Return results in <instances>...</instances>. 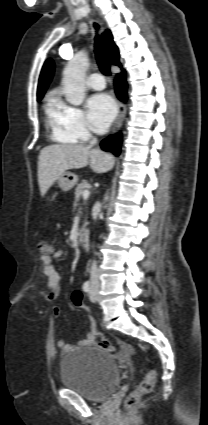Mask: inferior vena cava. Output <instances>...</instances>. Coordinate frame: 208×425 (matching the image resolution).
I'll return each mask as SVG.
<instances>
[{"label": "inferior vena cava", "instance_id": "obj_1", "mask_svg": "<svg viewBox=\"0 0 208 425\" xmlns=\"http://www.w3.org/2000/svg\"><path fill=\"white\" fill-rule=\"evenodd\" d=\"M97 144V139L92 137L91 141H90V147L94 146ZM90 280L91 282H98V273H97V265H96V261H93L92 265H91V270H90Z\"/></svg>", "mask_w": 208, "mask_h": 425}]
</instances>
